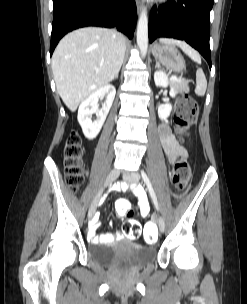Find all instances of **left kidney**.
Returning a JSON list of instances; mask_svg holds the SVG:
<instances>
[{
    "instance_id": "1",
    "label": "left kidney",
    "mask_w": 247,
    "mask_h": 304,
    "mask_svg": "<svg viewBox=\"0 0 247 304\" xmlns=\"http://www.w3.org/2000/svg\"><path fill=\"white\" fill-rule=\"evenodd\" d=\"M154 81L156 86L159 87H167L169 85L168 76L164 71H156L154 73ZM177 94V91L174 87H171L170 89V96L175 97ZM172 111V105L169 103L161 104L158 107V116L160 119H166L169 117L170 113Z\"/></svg>"
}]
</instances>
